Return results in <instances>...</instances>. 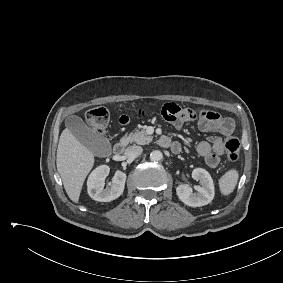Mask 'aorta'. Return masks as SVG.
Wrapping results in <instances>:
<instances>
[{
    "label": "aorta",
    "instance_id": "762f6f07",
    "mask_svg": "<svg viewBox=\"0 0 283 283\" xmlns=\"http://www.w3.org/2000/svg\"><path fill=\"white\" fill-rule=\"evenodd\" d=\"M163 159V154L159 150H154L150 153V160L153 162H158Z\"/></svg>",
    "mask_w": 283,
    "mask_h": 283
}]
</instances>
